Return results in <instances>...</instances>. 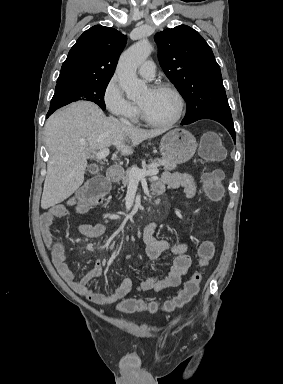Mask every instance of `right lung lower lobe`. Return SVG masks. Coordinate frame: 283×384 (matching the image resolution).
<instances>
[{
  "label": "right lung lower lobe",
  "mask_w": 283,
  "mask_h": 384,
  "mask_svg": "<svg viewBox=\"0 0 283 384\" xmlns=\"http://www.w3.org/2000/svg\"><path fill=\"white\" fill-rule=\"evenodd\" d=\"M54 111H55V110L49 109L48 114H47V118H48Z\"/></svg>",
  "instance_id": "98d812e1"
}]
</instances>
